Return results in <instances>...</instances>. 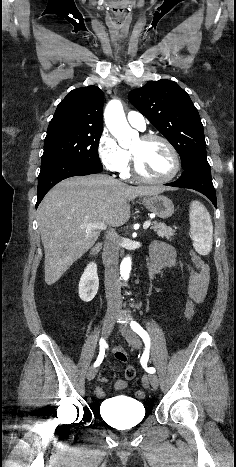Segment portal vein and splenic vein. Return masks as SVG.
I'll use <instances>...</instances> for the list:
<instances>
[{
	"mask_svg": "<svg viewBox=\"0 0 236 467\" xmlns=\"http://www.w3.org/2000/svg\"><path fill=\"white\" fill-rule=\"evenodd\" d=\"M151 225V221H146L143 225L144 230H147ZM88 229H100L106 230L107 226L103 223L90 224L87 226Z\"/></svg>",
	"mask_w": 236,
	"mask_h": 467,
	"instance_id": "18ae733b",
	"label": "portal vein and splenic vein"
}]
</instances>
